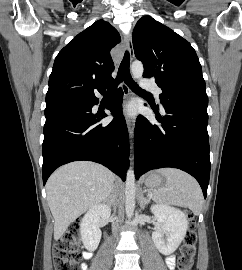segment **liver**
Segmentation results:
<instances>
[{
    "instance_id": "liver-1",
    "label": "liver",
    "mask_w": 242,
    "mask_h": 270,
    "mask_svg": "<svg viewBox=\"0 0 242 270\" xmlns=\"http://www.w3.org/2000/svg\"><path fill=\"white\" fill-rule=\"evenodd\" d=\"M114 182L115 175L94 162L77 161L57 169L46 184L47 200L55 220L54 239H60L85 211L105 201L114 189Z\"/></svg>"
}]
</instances>
